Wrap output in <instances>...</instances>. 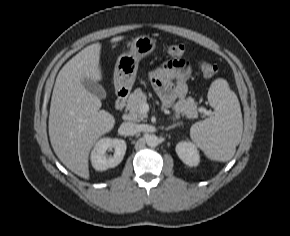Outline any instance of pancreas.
Returning a JSON list of instances; mask_svg holds the SVG:
<instances>
[{
    "label": "pancreas",
    "mask_w": 290,
    "mask_h": 236,
    "mask_svg": "<svg viewBox=\"0 0 290 236\" xmlns=\"http://www.w3.org/2000/svg\"><path fill=\"white\" fill-rule=\"evenodd\" d=\"M147 95L140 88L136 89L128 98L126 111H128L131 120H144L148 117L147 113L142 111V105L146 104ZM176 116L182 115L188 119L198 117V107L194 99L189 97L178 101L173 107Z\"/></svg>",
    "instance_id": "obj_1"
}]
</instances>
